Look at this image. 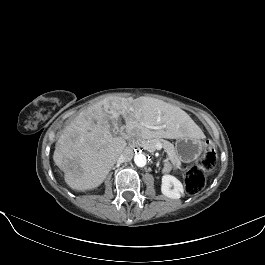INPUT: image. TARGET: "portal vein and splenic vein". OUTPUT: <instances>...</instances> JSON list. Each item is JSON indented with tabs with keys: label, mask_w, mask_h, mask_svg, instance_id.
Returning a JSON list of instances; mask_svg holds the SVG:
<instances>
[{
	"label": "portal vein and splenic vein",
	"mask_w": 265,
	"mask_h": 265,
	"mask_svg": "<svg viewBox=\"0 0 265 265\" xmlns=\"http://www.w3.org/2000/svg\"><path fill=\"white\" fill-rule=\"evenodd\" d=\"M161 147H162V146H161V145H159V146H158V149H161Z\"/></svg>",
	"instance_id": "1"
}]
</instances>
